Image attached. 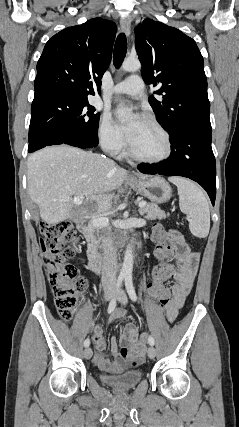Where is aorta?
I'll use <instances>...</instances> for the list:
<instances>
[{"mask_svg": "<svg viewBox=\"0 0 239 427\" xmlns=\"http://www.w3.org/2000/svg\"><path fill=\"white\" fill-rule=\"evenodd\" d=\"M141 68V63L138 59H126L122 63V69L127 72H134ZM118 117L121 121L126 122L132 118V109H122L118 112ZM133 269V251L132 248L128 245L125 251L124 260L122 268L120 271V276L122 277H131Z\"/></svg>", "mask_w": 239, "mask_h": 427, "instance_id": "aorta-1", "label": "aorta"}]
</instances>
